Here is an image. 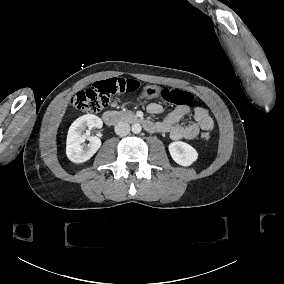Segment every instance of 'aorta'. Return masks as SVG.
Returning <instances> with one entry per match:
<instances>
[{
  "instance_id": "obj_1",
  "label": "aorta",
  "mask_w": 284,
  "mask_h": 284,
  "mask_svg": "<svg viewBox=\"0 0 284 284\" xmlns=\"http://www.w3.org/2000/svg\"><path fill=\"white\" fill-rule=\"evenodd\" d=\"M141 130H142V128H141V125H140V124L135 123V124L132 125V132H133L134 134L140 133Z\"/></svg>"
}]
</instances>
